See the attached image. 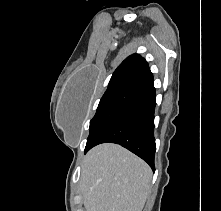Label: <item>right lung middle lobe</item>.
<instances>
[{"label":"right lung middle lobe","mask_w":221,"mask_h":211,"mask_svg":"<svg viewBox=\"0 0 221 211\" xmlns=\"http://www.w3.org/2000/svg\"><path fill=\"white\" fill-rule=\"evenodd\" d=\"M136 93L137 91L130 89L104 93L99 102L96 114L90 121V134L87 139V144L96 138Z\"/></svg>","instance_id":"obj_1"}]
</instances>
